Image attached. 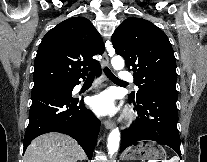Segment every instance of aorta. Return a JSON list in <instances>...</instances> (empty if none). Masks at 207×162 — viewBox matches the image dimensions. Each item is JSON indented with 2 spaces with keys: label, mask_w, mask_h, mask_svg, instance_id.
<instances>
[{
  "label": "aorta",
  "mask_w": 207,
  "mask_h": 162,
  "mask_svg": "<svg viewBox=\"0 0 207 162\" xmlns=\"http://www.w3.org/2000/svg\"><path fill=\"white\" fill-rule=\"evenodd\" d=\"M111 64L115 70H121L124 68V60L121 56H114L111 59ZM119 142H120V132L118 128L113 129L109 136H108V154L110 156H113L119 148Z\"/></svg>",
  "instance_id": "aorta-1"
}]
</instances>
